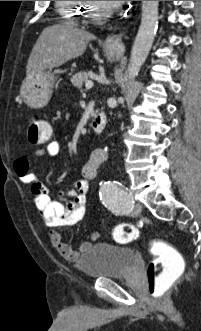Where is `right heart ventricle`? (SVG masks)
<instances>
[{"mask_svg": "<svg viewBox=\"0 0 201 331\" xmlns=\"http://www.w3.org/2000/svg\"><path fill=\"white\" fill-rule=\"evenodd\" d=\"M56 7L63 20L78 24L85 8V1H56Z\"/></svg>", "mask_w": 201, "mask_h": 331, "instance_id": "e07e8e85", "label": "right heart ventricle"}]
</instances>
